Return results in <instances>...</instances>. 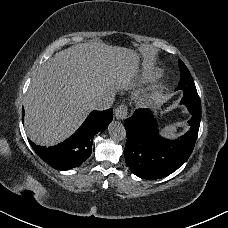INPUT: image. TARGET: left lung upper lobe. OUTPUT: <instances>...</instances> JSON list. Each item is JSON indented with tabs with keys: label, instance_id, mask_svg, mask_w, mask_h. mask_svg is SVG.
Returning a JSON list of instances; mask_svg holds the SVG:
<instances>
[{
	"label": "left lung upper lobe",
	"instance_id": "5c2ea615",
	"mask_svg": "<svg viewBox=\"0 0 228 228\" xmlns=\"http://www.w3.org/2000/svg\"><path fill=\"white\" fill-rule=\"evenodd\" d=\"M179 68L181 72V79L176 90L181 89L184 92L181 104L186 105V99L190 97L188 94H191V97H195L196 99H199V96L193 78L191 77L189 70L181 60H179Z\"/></svg>",
	"mask_w": 228,
	"mask_h": 228
}]
</instances>
